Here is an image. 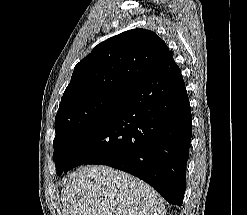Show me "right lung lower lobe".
I'll return each mask as SVG.
<instances>
[{
    "instance_id": "obj_1",
    "label": "right lung lower lobe",
    "mask_w": 247,
    "mask_h": 215,
    "mask_svg": "<svg viewBox=\"0 0 247 215\" xmlns=\"http://www.w3.org/2000/svg\"><path fill=\"white\" fill-rule=\"evenodd\" d=\"M191 136L189 98L181 70L170 56L115 114L77 141L68 157L69 170L108 165L135 175L170 204L181 206Z\"/></svg>"
}]
</instances>
